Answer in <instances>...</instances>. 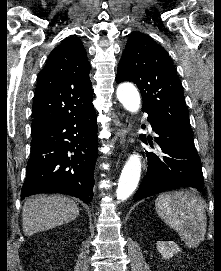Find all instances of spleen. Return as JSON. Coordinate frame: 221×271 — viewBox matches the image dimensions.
<instances>
[{
  "label": "spleen",
  "mask_w": 221,
  "mask_h": 271,
  "mask_svg": "<svg viewBox=\"0 0 221 271\" xmlns=\"http://www.w3.org/2000/svg\"><path fill=\"white\" fill-rule=\"evenodd\" d=\"M156 211L188 247H198L204 241L207 217L198 195L189 191H164L156 199Z\"/></svg>",
  "instance_id": "1"
}]
</instances>
